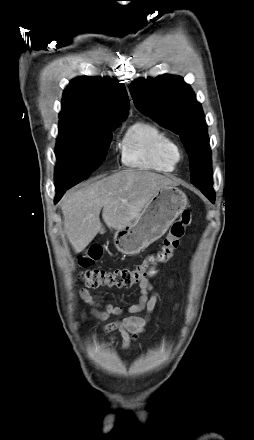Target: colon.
<instances>
[{"label":"colon","mask_w":254,"mask_h":440,"mask_svg":"<svg viewBox=\"0 0 254 440\" xmlns=\"http://www.w3.org/2000/svg\"><path fill=\"white\" fill-rule=\"evenodd\" d=\"M192 214L190 211H183L175 221L156 256L138 263L132 267L116 269H86L81 273L85 285L90 288L99 287H129L145 277L152 263L167 262L174 251L179 247L180 239L185 229L191 224ZM102 256V248L93 245L78 257V265L81 268H88Z\"/></svg>","instance_id":"colon-1"}]
</instances>
